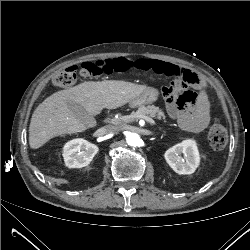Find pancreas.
Returning a JSON list of instances; mask_svg holds the SVG:
<instances>
[{"label": "pancreas", "mask_w": 250, "mask_h": 250, "mask_svg": "<svg viewBox=\"0 0 250 250\" xmlns=\"http://www.w3.org/2000/svg\"><path fill=\"white\" fill-rule=\"evenodd\" d=\"M148 114L156 115L159 119L162 118L164 121H166V115L161 109H159L155 105H149V106H142L138 108L135 112H132L131 118L120 117L118 119H113V122L115 124H124L127 122L135 121L136 119H139L140 116Z\"/></svg>", "instance_id": "obj_1"}]
</instances>
